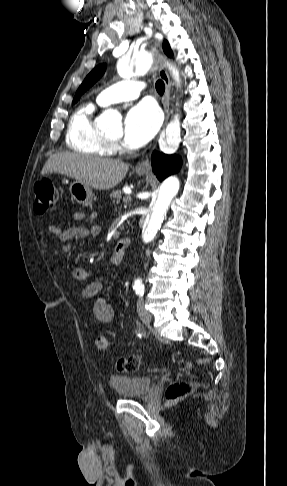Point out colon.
Returning <instances> with one entry per match:
<instances>
[{
    "label": "colon",
    "mask_w": 287,
    "mask_h": 486,
    "mask_svg": "<svg viewBox=\"0 0 287 486\" xmlns=\"http://www.w3.org/2000/svg\"><path fill=\"white\" fill-rule=\"evenodd\" d=\"M35 200L34 210L37 214H45L50 211L57 202V190L48 177L39 179L34 186ZM95 346L98 350H106L108 348V340L103 333H98L95 337ZM142 366V361L139 357L133 356L128 358H120L115 362V368L119 372H135ZM193 390L192 385L186 381H177L172 383L166 392V397L170 401H176Z\"/></svg>",
    "instance_id": "colon-1"
}]
</instances>
